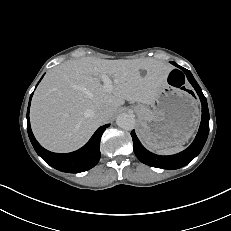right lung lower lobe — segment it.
Wrapping results in <instances>:
<instances>
[{
    "label": "right lung lower lobe",
    "instance_id": "1",
    "mask_svg": "<svg viewBox=\"0 0 231 231\" xmlns=\"http://www.w3.org/2000/svg\"><path fill=\"white\" fill-rule=\"evenodd\" d=\"M32 95L30 97L27 111V131L30 141L37 154L41 158H43L50 166L62 172L79 173L87 171L94 167L98 163L101 155V136L110 124H106L98 128L97 131L91 137V139L87 142V144L77 151L66 154H59L47 151L37 142L31 130L29 120V109Z\"/></svg>",
    "mask_w": 231,
    "mask_h": 231
}]
</instances>
